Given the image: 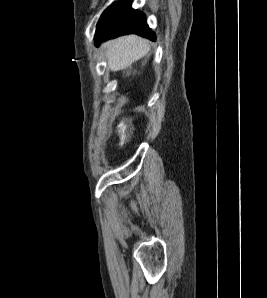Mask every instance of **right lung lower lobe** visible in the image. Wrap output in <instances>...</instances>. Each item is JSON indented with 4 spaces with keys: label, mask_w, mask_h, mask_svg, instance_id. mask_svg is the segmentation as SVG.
Masks as SVG:
<instances>
[{
    "label": "right lung lower lobe",
    "mask_w": 267,
    "mask_h": 298,
    "mask_svg": "<svg viewBox=\"0 0 267 298\" xmlns=\"http://www.w3.org/2000/svg\"><path fill=\"white\" fill-rule=\"evenodd\" d=\"M130 33L155 40L144 14L132 9L130 1L119 0L102 14L96 29L95 44L98 46L102 40Z\"/></svg>",
    "instance_id": "1"
}]
</instances>
